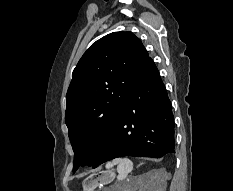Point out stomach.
<instances>
[{"instance_id":"obj_1","label":"stomach","mask_w":233,"mask_h":191,"mask_svg":"<svg viewBox=\"0 0 233 191\" xmlns=\"http://www.w3.org/2000/svg\"><path fill=\"white\" fill-rule=\"evenodd\" d=\"M115 173L105 170L88 176L82 183L83 191H95L98 186L109 184L113 181Z\"/></svg>"}]
</instances>
